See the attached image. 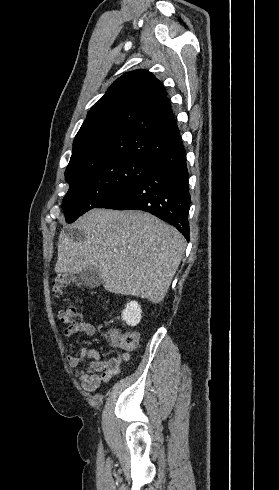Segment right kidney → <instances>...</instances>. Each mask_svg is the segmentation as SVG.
<instances>
[{
	"label": "right kidney",
	"mask_w": 279,
	"mask_h": 490,
	"mask_svg": "<svg viewBox=\"0 0 279 490\" xmlns=\"http://www.w3.org/2000/svg\"><path fill=\"white\" fill-rule=\"evenodd\" d=\"M121 318L123 322H126L127 326H137L142 318V310L138 302H129V304H126Z\"/></svg>",
	"instance_id": "obj_1"
}]
</instances>
